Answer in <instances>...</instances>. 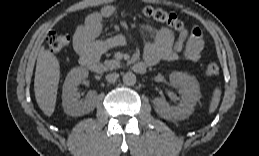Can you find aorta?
Masks as SVG:
<instances>
[{"instance_id": "aorta-1", "label": "aorta", "mask_w": 259, "mask_h": 156, "mask_svg": "<svg viewBox=\"0 0 259 156\" xmlns=\"http://www.w3.org/2000/svg\"><path fill=\"white\" fill-rule=\"evenodd\" d=\"M136 75L132 72H127L123 75V82L128 86H132L136 83Z\"/></svg>"}]
</instances>
